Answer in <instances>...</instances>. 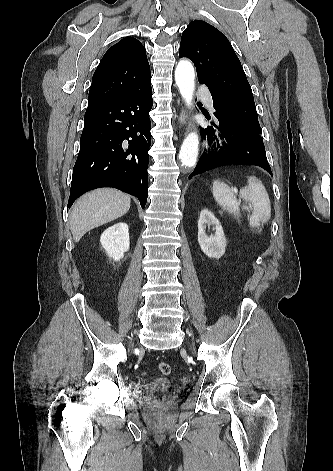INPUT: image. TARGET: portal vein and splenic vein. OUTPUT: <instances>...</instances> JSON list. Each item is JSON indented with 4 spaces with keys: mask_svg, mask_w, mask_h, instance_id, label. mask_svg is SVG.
<instances>
[{
    "mask_svg": "<svg viewBox=\"0 0 333 471\" xmlns=\"http://www.w3.org/2000/svg\"><path fill=\"white\" fill-rule=\"evenodd\" d=\"M243 208H244V209H246V210H248V207H247V206H245V205L243 206Z\"/></svg>",
    "mask_w": 333,
    "mask_h": 471,
    "instance_id": "18ae733b",
    "label": "portal vein and splenic vein"
}]
</instances>
